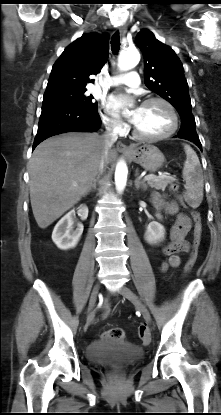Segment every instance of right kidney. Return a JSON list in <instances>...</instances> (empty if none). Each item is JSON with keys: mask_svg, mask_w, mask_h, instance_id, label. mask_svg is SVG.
Segmentation results:
<instances>
[{"mask_svg": "<svg viewBox=\"0 0 221 415\" xmlns=\"http://www.w3.org/2000/svg\"><path fill=\"white\" fill-rule=\"evenodd\" d=\"M77 214L81 220L87 219L88 208L86 206L79 207ZM74 219L75 210H71L59 220L53 230L52 240L62 250L75 247L83 233L84 227L81 223L77 224L76 228L73 227Z\"/></svg>", "mask_w": 221, "mask_h": 415, "instance_id": "right-kidney-1", "label": "right kidney"}]
</instances>
